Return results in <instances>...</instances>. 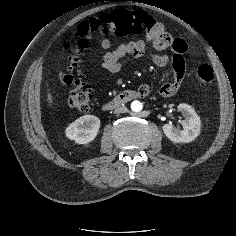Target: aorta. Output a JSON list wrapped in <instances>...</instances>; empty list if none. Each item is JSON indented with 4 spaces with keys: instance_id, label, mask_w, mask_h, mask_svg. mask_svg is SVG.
Segmentation results:
<instances>
[{
    "instance_id": "obj_1",
    "label": "aorta",
    "mask_w": 236,
    "mask_h": 236,
    "mask_svg": "<svg viewBox=\"0 0 236 236\" xmlns=\"http://www.w3.org/2000/svg\"><path fill=\"white\" fill-rule=\"evenodd\" d=\"M143 108V104L138 101V100H134L132 103H131V110L133 112H140Z\"/></svg>"
}]
</instances>
